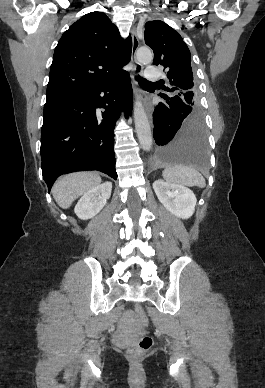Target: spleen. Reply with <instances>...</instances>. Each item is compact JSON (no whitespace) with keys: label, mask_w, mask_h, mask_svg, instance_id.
Segmentation results:
<instances>
[{"label":"spleen","mask_w":265,"mask_h":388,"mask_svg":"<svg viewBox=\"0 0 265 388\" xmlns=\"http://www.w3.org/2000/svg\"><path fill=\"white\" fill-rule=\"evenodd\" d=\"M164 180L173 182V184H180V186H200L205 188V180L197 170L190 168V166H183V164H175V166H168L163 172Z\"/></svg>","instance_id":"obj_1"}]
</instances>
